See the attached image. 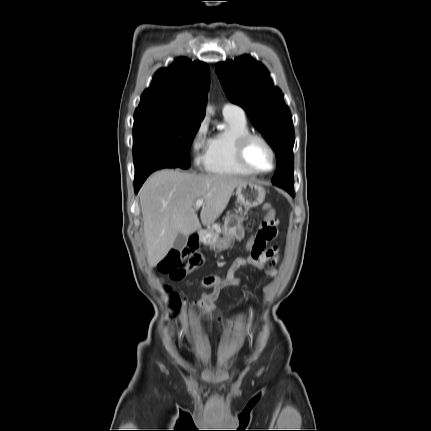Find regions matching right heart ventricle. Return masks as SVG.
I'll return each instance as SVG.
<instances>
[{
	"instance_id": "e07e8e85",
	"label": "right heart ventricle",
	"mask_w": 431,
	"mask_h": 431,
	"mask_svg": "<svg viewBox=\"0 0 431 431\" xmlns=\"http://www.w3.org/2000/svg\"><path fill=\"white\" fill-rule=\"evenodd\" d=\"M227 128L216 134L210 143L206 171L219 175L248 176L252 173L239 165L235 157L237 140L250 133L245 117L224 115Z\"/></svg>"
}]
</instances>
